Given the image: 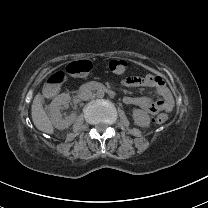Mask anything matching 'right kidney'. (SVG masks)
<instances>
[{"label": "right kidney", "mask_w": 208, "mask_h": 208, "mask_svg": "<svg viewBox=\"0 0 208 208\" xmlns=\"http://www.w3.org/2000/svg\"><path fill=\"white\" fill-rule=\"evenodd\" d=\"M71 97L67 93H61L56 96L50 104L51 122L55 128L63 130L72 125L76 120V114L72 113L70 116L62 118L60 112L63 108H68ZM63 106V107H62Z\"/></svg>", "instance_id": "ca27d5eb"}]
</instances>
